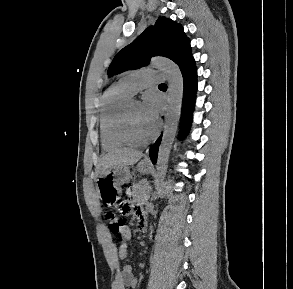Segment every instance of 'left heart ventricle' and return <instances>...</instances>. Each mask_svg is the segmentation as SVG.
<instances>
[{
	"label": "left heart ventricle",
	"mask_w": 293,
	"mask_h": 289,
	"mask_svg": "<svg viewBox=\"0 0 293 289\" xmlns=\"http://www.w3.org/2000/svg\"><path fill=\"white\" fill-rule=\"evenodd\" d=\"M131 132L135 139L148 138L155 129L156 123L150 121L144 114L142 104L135 101L130 109Z\"/></svg>",
	"instance_id": "1"
}]
</instances>
